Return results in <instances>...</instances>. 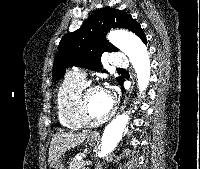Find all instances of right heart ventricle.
<instances>
[{
    "label": "right heart ventricle",
    "instance_id": "obj_1",
    "mask_svg": "<svg viewBox=\"0 0 200 169\" xmlns=\"http://www.w3.org/2000/svg\"><path fill=\"white\" fill-rule=\"evenodd\" d=\"M84 86L85 84L67 76L57 90V117L66 130L77 131L83 128L77 116L76 99Z\"/></svg>",
    "mask_w": 200,
    "mask_h": 169
}]
</instances>
